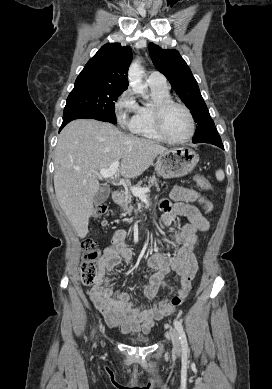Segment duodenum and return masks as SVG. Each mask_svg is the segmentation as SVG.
Wrapping results in <instances>:
<instances>
[{"instance_id":"410a0bca","label":"duodenum","mask_w":272,"mask_h":389,"mask_svg":"<svg viewBox=\"0 0 272 389\" xmlns=\"http://www.w3.org/2000/svg\"><path fill=\"white\" fill-rule=\"evenodd\" d=\"M112 198H113L114 202L117 204H121L123 201V197H122L121 193L117 192V191L113 192Z\"/></svg>"}]
</instances>
